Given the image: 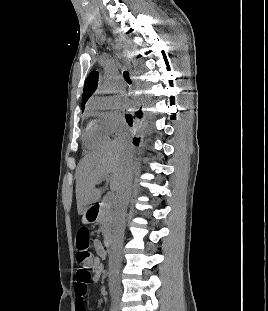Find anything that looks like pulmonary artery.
I'll list each match as a JSON object with an SVG mask.
<instances>
[{"label":"pulmonary artery","instance_id":"e3ab8cb5","mask_svg":"<svg viewBox=\"0 0 268 311\" xmlns=\"http://www.w3.org/2000/svg\"><path fill=\"white\" fill-rule=\"evenodd\" d=\"M124 86L125 85L122 82H120L119 85H118V88H123Z\"/></svg>","mask_w":268,"mask_h":311}]
</instances>
